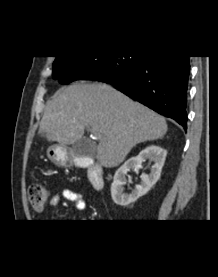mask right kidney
I'll list each match as a JSON object with an SVG mask.
<instances>
[{
	"instance_id": "1",
	"label": "right kidney",
	"mask_w": 218,
	"mask_h": 277,
	"mask_svg": "<svg viewBox=\"0 0 218 277\" xmlns=\"http://www.w3.org/2000/svg\"><path fill=\"white\" fill-rule=\"evenodd\" d=\"M167 151L160 146L152 145L142 150L138 156L129 158L120 168L117 169L111 185V196L113 201L120 206H128L138 198L145 195L158 181L162 167L166 159ZM150 159L154 162L150 174L141 175V184L137 185L130 194L124 193L123 185L126 183V174L130 169L138 171L142 162Z\"/></svg>"
}]
</instances>
